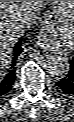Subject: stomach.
<instances>
[{
	"label": "stomach",
	"instance_id": "obj_1",
	"mask_svg": "<svg viewBox=\"0 0 74 122\" xmlns=\"http://www.w3.org/2000/svg\"><path fill=\"white\" fill-rule=\"evenodd\" d=\"M62 23H64V21L61 18H58L57 20L54 21V26H59Z\"/></svg>",
	"mask_w": 74,
	"mask_h": 122
}]
</instances>
